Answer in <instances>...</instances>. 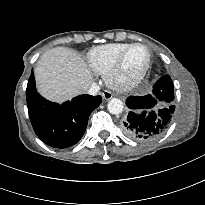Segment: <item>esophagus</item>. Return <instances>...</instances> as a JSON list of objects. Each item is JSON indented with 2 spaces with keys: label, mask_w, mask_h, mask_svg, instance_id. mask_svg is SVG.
Wrapping results in <instances>:
<instances>
[{
  "label": "esophagus",
  "mask_w": 205,
  "mask_h": 205,
  "mask_svg": "<svg viewBox=\"0 0 205 205\" xmlns=\"http://www.w3.org/2000/svg\"><path fill=\"white\" fill-rule=\"evenodd\" d=\"M102 97L105 100H110L113 97V94L109 90H104V92L102 93Z\"/></svg>",
  "instance_id": "esophagus-1"
}]
</instances>
